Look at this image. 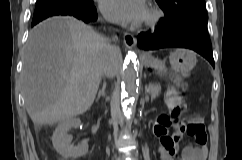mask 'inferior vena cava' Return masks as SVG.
<instances>
[{
  "label": "inferior vena cava",
  "instance_id": "inferior-vena-cava-1",
  "mask_svg": "<svg viewBox=\"0 0 242 160\" xmlns=\"http://www.w3.org/2000/svg\"><path fill=\"white\" fill-rule=\"evenodd\" d=\"M104 46L108 58L104 61L103 68H98V73H104V77L109 80L110 78L115 77V73H119L117 63L121 60V51L119 50V47L111 45L108 40L105 41Z\"/></svg>",
  "mask_w": 242,
  "mask_h": 160
}]
</instances>
